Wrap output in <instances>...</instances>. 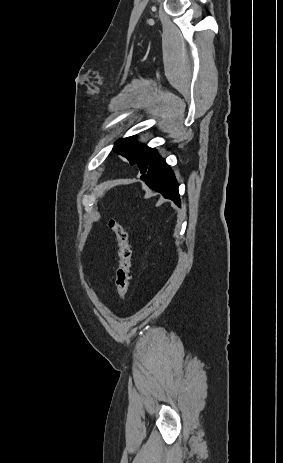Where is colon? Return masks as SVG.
Wrapping results in <instances>:
<instances>
[{
  "mask_svg": "<svg viewBox=\"0 0 283 463\" xmlns=\"http://www.w3.org/2000/svg\"><path fill=\"white\" fill-rule=\"evenodd\" d=\"M109 228L115 233L119 247V264L116 271V288L119 299L124 302L129 287V273L131 266V248L128 240V233L115 219L108 221Z\"/></svg>",
  "mask_w": 283,
  "mask_h": 463,
  "instance_id": "colon-1",
  "label": "colon"
}]
</instances>
